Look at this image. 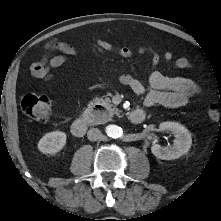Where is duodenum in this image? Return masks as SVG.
<instances>
[{"mask_svg": "<svg viewBox=\"0 0 221 221\" xmlns=\"http://www.w3.org/2000/svg\"><path fill=\"white\" fill-rule=\"evenodd\" d=\"M128 119L133 124H139L145 119V112L137 109L132 110L128 114ZM71 131L76 137H83L87 131V124L83 118L76 119L71 125Z\"/></svg>", "mask_w": 221, "mask_h": 221, "instance_id": "1", "label": "duodenum"}]
</instances>
